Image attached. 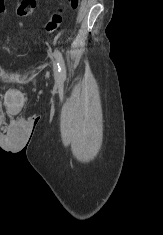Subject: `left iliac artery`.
Instances as JSON below:
<instances>
[{
	"instance_id": "1",
	"label": "left iliac artery",
	"mask_w": 163,
	"mask_h": 235,
	"mask_svg": "<svg viewBox=\"0 0 163 235\" xmlns=\"http://www.w3.org/2000/svg\"><path fill=\"white\" fill-rule=\"evenodd\" d=\"M54 54H55V58L57 61L60 78L62 80H65L66 79V66H65L64 58L59 50H55Z\"/></svg>"
}]
</instances>
